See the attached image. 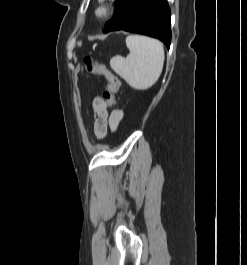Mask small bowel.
<instances>
[{
    "label": "small bowel",
    "mask_w": 247,
    "mask_h": 265,
    "mask_svg": "<svg viewBox=\"0 0 247 265\" xmlns=\"http://www.w3.org/2000/svg\"><path fill=\"white\" fill-rule=\"evenodd\" d=\"M107 104L102 97H95L92 101L94 111V134L97 139H103L110 129L115 131L124 117L122 110L108 113Z\"/></svg>",
    "instance_id": "obj_1"
}]
</instances>
